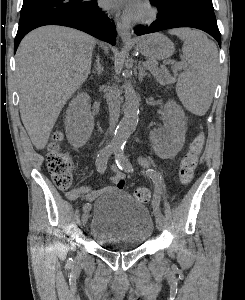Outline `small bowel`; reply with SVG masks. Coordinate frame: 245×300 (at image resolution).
Returning <instances> with one entry per match:
<instances>
[{
  "label": "small bowel",
  "instance_id": "c3829d8e",
  "mask_svg": "<svg viewBox=\"0 0 245 300\" xmlns=\"http://www.w3.org/2000/svg\"><path fill=\"white\" fill-rule=\"evenodd\" d=\"M140 163L143 167H148L149 162L142 158ZM113 175L110 178L111 185L104 188H93L90 186L74 188L66 193V198L75 202L79 197L85 196L86 200L93 201L98 198L101 194L110 190L123 189L125 186V175L117 167H112Z\"/></svg>",
  "mask_w": 245,
  "mask_h": 300
}]
</instances>
